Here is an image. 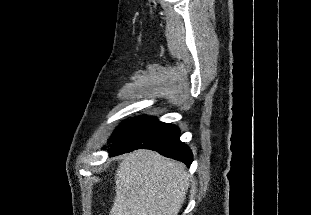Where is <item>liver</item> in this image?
Listing matches in <instances>:
<instances>
[{
  "instance_id": "6515ba94",
  "label": "liver",
  "mask_w": 311,
  "mask_h": 215,
  "mask_svg": "<svg viewBox=\"0 0 311 215\" xmlns=\"http://www.w3.org/2000/svg\"><path fill=\"white\" fill-rule=\"evenodd\" d=\"M186 166L150 150L125 155L115 176L109 215H178L185 201Z\"/></svg>"
}]
</instances>
